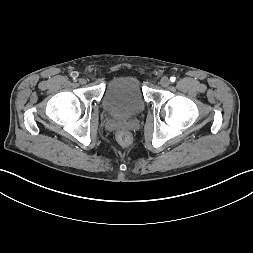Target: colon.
Here are the masks:
<instances>
[{
  "mask_svg": "<svg viewBox=\"0 0 253 253\" xmlns=\"http://www.w3.org/2000/svg\"><path fill=\"white\" fill-rule=\"evenodd\" d=\"M117 140L123 145H129L132 142V136L128 131L120 130L117 133Z\"/></svg>",
  "mask_w": 253,
  "mask_h": 253,
  "instance_id": "obj_1",
  "label": "colon"
}]
</instances>
